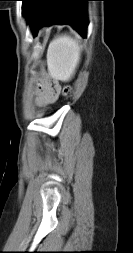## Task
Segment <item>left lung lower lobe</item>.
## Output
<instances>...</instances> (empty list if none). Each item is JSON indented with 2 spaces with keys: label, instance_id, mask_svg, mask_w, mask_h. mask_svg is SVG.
Returning a JSON list of instances; mask_svg holds the SVG:
<instances>
[{
  "label": "left lung lower lobe",
  "instance_id": "obj_1",
  "mask_svg": "<svg viewBox=\"0 0 133 253\" xmlns=\"http://www.w3.org/2000/svg\"><path fill=\"white\" fill-rule=\"evenodd\" d=\"M22 10L36 35L43 25L70 24L83 37L87 33V1L22 0Z\"/></svg>",
  "mask_w": 133,
  "mask_h": 253
}]
</instances>
